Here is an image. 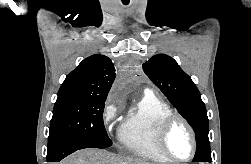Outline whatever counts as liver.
Segmentation results:
<instances>
[{"instance_id": "6515ba94", "label": "liver", "mask_w": 251, "mask_h": 164, "mask_svg": "<svg viewBox=\"0 0 251 164\" xmlns=\"http://www.w3.org/2000/svg\"><path fill=\"white\" fill-rule=\"evenodd\" d=\"M59 164H154L133 157H125L102 149L77 151Z\"/></svg>"}]
</instances>
